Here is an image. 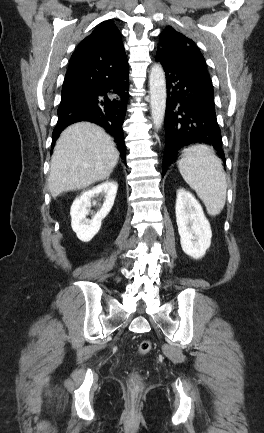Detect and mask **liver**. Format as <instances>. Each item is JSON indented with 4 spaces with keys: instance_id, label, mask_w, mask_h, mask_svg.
Instances as JSON below:
<instances>
[{
    "instance_id": "1",
    "label": "liver",
    "mask_w": 264,
    "mask_h": 433,
    "mask_svg": "<svg viewBox=\"0 0 264 433\" xmlns=\"http://www.w3.org/2000/svg\"><path fill=\"white\" fill-rule=\"evenodd\" d=\"M118 159L113 139L99 126L80 122L67 127L51 158L48 184L52 197L108 178Z\"/></svg>"
}]
</instances>
